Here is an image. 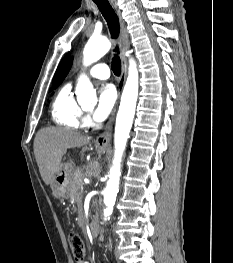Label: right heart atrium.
Wrapping results in <instances>:
<instances>
[{
  "instance_id": "obj_1",
  "label": "right heart atrium",
  "mask_w": 233,
  "mask_h": 263,
  "mask_svg": "<svg viewBox=\"0 0 233 263\" xmlns=\"http://www.w3.org/2000/svg\"><path fill=\"white\" fill-rule=\"evenodd\" d=\"M82 122H83V125L84 126H88L90 125V118L87 114H84L83 117H82Z\"/></svg>"
}]
</instances>
